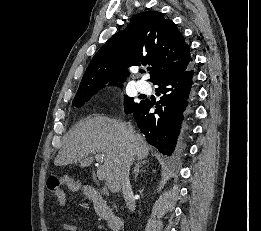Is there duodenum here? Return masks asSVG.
<instances>
[{"label": "duodenum", "instance_id": "1", "mask_svg": "<svg viewBox=\"0 0 261 231\" xmlns=\"http://www.w3.org/2000/svg\"><path fill=\"white\" fill-rule=\"evenodd\" d=\"M81 190L88 199L93 201L97 208L98 214L107 219L109 228L112 231H119L121 228V219L119 216L110 212V208L107 206L104 197L98 193L95 188L90 186H82Z\"/></svg>", "mask_w": 261, "mask_h": 231}]
</instances>
